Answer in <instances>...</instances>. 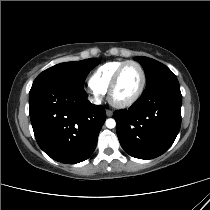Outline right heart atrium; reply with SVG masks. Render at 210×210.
I'll return each mask as SVG.
<instances>
[{"instance_id":"right-heart-atrium-1","label":"right heart atrium","mask_w":210,"mask_h":210,"mask_svg":"<svg viewBox=\"0 0 210 210\" xmlns=\"http://www.w3.org/2000/svg\"><path fill=\"white\" fill-rule=\"evenodd\" d=\"M88 91L93 95L94 98L99 99L101 97V93L91 86H89Z\"/></svg>"}]
</instances>
